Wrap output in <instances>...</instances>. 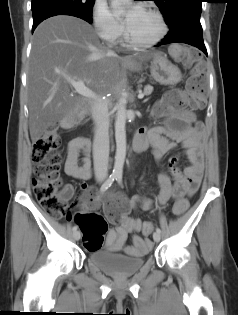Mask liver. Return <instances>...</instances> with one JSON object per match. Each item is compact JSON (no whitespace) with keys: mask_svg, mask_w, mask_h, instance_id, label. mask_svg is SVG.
<instances>
[{"mask_svg":"<svg viewBox=\"0 0 238 315\" xmlns=\"http://www.w3.org/2000/svg\"><path fill=\"white\" fill-rule=\"evenodd\" d=\"M102 45L82 19L57 15L43 21L33 35L27 75L29 131L32 143L56 123H74L91 101L72 96L69 80L83 81L99 94L114 91L122 68L131 60L147 62L160 53L122 58Z\"/></svg>","mask_w":238,"mask_h":315,"instance_id":"liver-1","label":"liver"}]
</instances>
